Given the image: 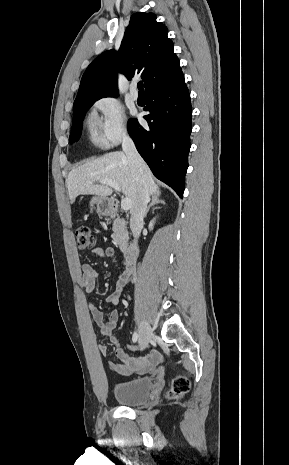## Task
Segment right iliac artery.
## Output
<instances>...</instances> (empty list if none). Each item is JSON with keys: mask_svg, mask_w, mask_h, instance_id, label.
<instances>
[{"mask_svg": "<svg viewBox=\"0 0 289 465\" xmlns=\"http://www.w3.org/2000/svg\"><path fill=\"white\" fill-rule=\"evenodd\" d=\"M132 340H133L134 343L137 342V340H138V333L137 332H134Z\"/></svg>", "mask_w": 289, "mask_h": 465, "instance_id": "obj_1", "label": "right iliac artery"}]
</instances>
